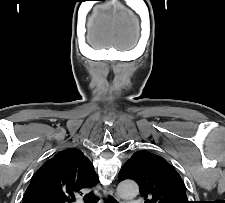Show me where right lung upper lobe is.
Instances as JSON below:
<instances>
[{"label":"right lung upper lobe","mask_w":225,"mask_h":203,"mask_svg":"<svg viewBox=\"0 0 225 203\" xmlns=\"http://www.w3.org/2000/svg\"><path fill=\"white\" fill-rule=\"evenodd\" d=\"M97 183L93 164L83 152L76 148L65 149L37 171L23 203H71L76 193Z\"/></svg>","instance_id":"obj_1"}]
</instances>
